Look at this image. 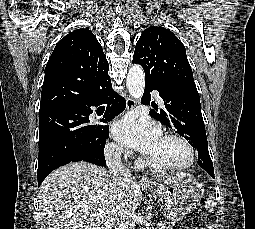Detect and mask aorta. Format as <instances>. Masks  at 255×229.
Wrapping results in <instances>:
<instances>
[{
  "label": "aorta",
  "mask_w": 255,
  "mask_h": 229,
  "mask_svg": "<svg viewBox=\"0 0 255 229\" xmlns=\"http://www.w3.org/2000/svg\"><path fill=\"white\" fill-rule=\"evenodd\" d=\"M127 88L131 97L140 99L144 93L145 75L143 68L140 65H132L128 71Z\"/></svg>",
  "instance_id": "obj_1"
}]
</instances>
